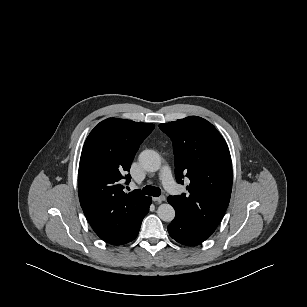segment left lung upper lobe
<instances>
[{"instance_id":"left-lung-upper-lobe-1","label":"left lung upper lobe","mask_w":307,"mask_h":307,"mask_svg":"<svg viewBox=\"0 0 307 307\" xmlns=\"http://www.w3.org/2000/svg\"><path fill=\"white\" fill-rule=\"evenodd\" d=\"M173 142L175 177L188 195L169 196L168 202L198 228L212 234L229 204L232 163L222 135L207 120L189 116L160 124Z\"/></svg>"}]
</instances>
